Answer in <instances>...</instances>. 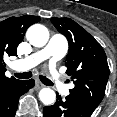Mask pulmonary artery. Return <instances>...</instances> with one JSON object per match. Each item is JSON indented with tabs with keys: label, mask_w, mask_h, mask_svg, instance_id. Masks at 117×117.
I'll list each match as a JSON object with an SVG mask.
<instances>
[{
	"label": "pulmonary artery",
	"mask_w": 117,
	"mask_h": 117,
	"mask_svg": "<svg viewBox=\"0 0 117 117\" xmlns=\"http://www.w3.org/2000/svg\"><path fill=\"white\" fill-rule=\"evenodd\" d=\"M67 47L68 44L65 37L60 34H55L51 37L45 48L16 61L13 64V68L18 71H24L48 60L50 80L58 91L67 95L69 93L70 86L63 83L56 69V63L65 55Z\"/></svg>",
	"instance_id": "pulmonary-artery-1"
}]
</instances>
